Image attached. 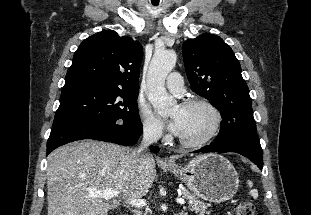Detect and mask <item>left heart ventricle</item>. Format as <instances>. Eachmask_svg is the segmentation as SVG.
I'll use <instances>...</instances> for the list:
<instances>
[{
  "instance_id": "obj_1",
  "label": "left heart ventricle",
  "mask_w": 311,
  "mask_h": 215,
  "mask_svg": "<svg viewBox=\"0 0 311 215\" xmlns=\"http://www.w3.org/2000/svg\"><path fill=\"white\" fill-rule=\"evenodd\" d=\"M172 117H179L182 122V129L179 137L188 141L202 139L213 126L214 117L204 106L181 107L176 106L171 114Z\"/></svg>"
}]
</instances>
